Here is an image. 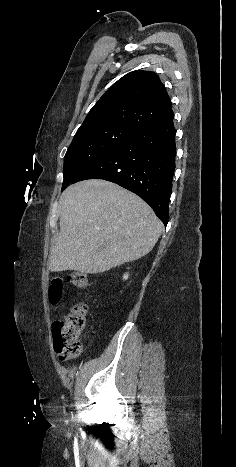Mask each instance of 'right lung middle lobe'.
Wrapping results in <instances>:
<instances>
[{"label": "right lung middle lobe", "mask_w": 236, "mask_h": 467, "mask_svg": "<svg viewBox=\"0 0 236 467\" xmlns=\"http://www.w3.org/2000/svg\"><path fill=\"white\" fill-rule=\"evenodd\" d=\"M137 132L121 125H104L77 132L64 157L62 191L93 163Z\"/></svg>", "instance_id": "obj_1"}]
</instances>
